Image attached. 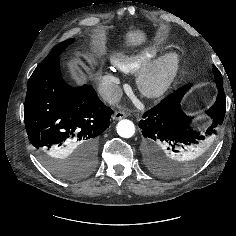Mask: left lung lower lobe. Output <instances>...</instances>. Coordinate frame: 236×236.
Wrapping results in <instances>:
<instances>
[{"mask_svg": "<svg viewBox=\"0 0 236 236\" xmlns=\"http://www.w3.org/2000/svg\"><path fill=\"white\" fill-rule=\"evenodd\" d=\"M213 73L218 88L215 104L207 111L213 119L206 135L216 133L215 128L223 123L226 110V98L219 70L213 66ZM189 83L158 105L147 111L139 122L145 139L146 162L154 170L169 172V159L173 161H192L200 157V141L205 137L191 128V119L180 108L184 94L191 88Z\"/></svg>", "mask_w": 236, "mask_h": 236, "instance_id": "obj_1", "label": "left lung lower lobe"}]
</instances>
